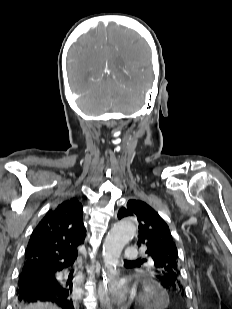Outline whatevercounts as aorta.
<instances>
[{
	"label": "aorta",
	"instance_id": "762f6f07",
	"mask_svg": "<svg viewBox=\"0 0 232 309\" xmlns=\"http://www.w3.org/2000/svg\"><path fill=\"white\" fill-rule=\"evenodd\" d=\"M136 233L134 220L128 219L116 223L108 232L103 246L105 267L115 273L121 252Z\"/></svg>",
	"mask_w": 232,
	"mask_h": 309
}]
</instances>
